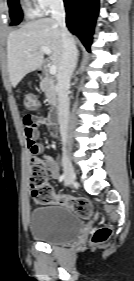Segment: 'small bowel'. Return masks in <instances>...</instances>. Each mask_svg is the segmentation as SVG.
<instances>
[{
  "label": "small bowel",
  "instance_id": "c3829d8e",
  "mask_svg": "<svg viewBox=\"0 0 134 281\" xmlns=\"http://www.w3.org/2000/svg\"><path fill=\"white\" fill-rule=\"evenodd\" d=\"M24 131L27 140L30 163L35 166H40L48 170L53 179L59 176L58 162L51 156L43 154L44 146L37 143L39 137L38 127L46 125L49 128L51 137L57 136V130L54 126L50 125L44 118L38 117L30 112H25L23 115Z\"/></svg>",
  "mask_w": 134,
  "mask_h": 281
}]
</instances>
